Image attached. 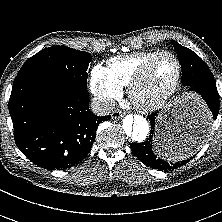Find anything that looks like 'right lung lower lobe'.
Here are the masks:
<instances>
[{"instance_id":"obj_1","label":"right lung lower lobe","mask_w":222,"mask_h":222,"mask_svg":"<svg viewBox=\"0 0 222 222\" xmlns=\"http://www.w3.org/2000/svg\"><path fill=\"white\" fill-rule=\"evenodd\" d=\"M9 113L16 145L30 161L49 170L81 162L98 125L111 118L90 111L86 88L44 75L15 78Z\"/></svg>"}]
</instances>
